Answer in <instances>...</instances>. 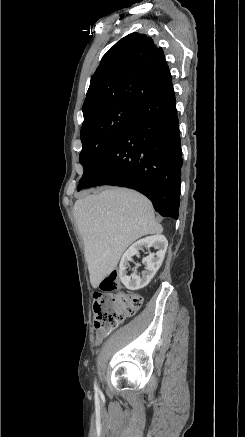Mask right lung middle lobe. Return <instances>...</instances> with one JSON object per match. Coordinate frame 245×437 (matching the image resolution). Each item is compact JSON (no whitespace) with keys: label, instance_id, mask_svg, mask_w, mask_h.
<instances>
[{"label":"right lung middle lobe","instance_id":"1","mask_svg":"<svg viewBox=\"0 0 245 437\" xmlns=\"http://www.w3.org/2000/svg\"><path fill=\"white\" fill-rule=\"evenodd\" d=\"M137 108L132 103L117 102L99 107L84 117L80 133L83 147L79 157L84 173L78 188L114 147Z\"/></svg>","mask_w":245,"mask_h":437}]
</instances>
